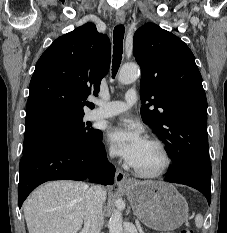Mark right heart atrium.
<instances>
[{"label": "right heart atrium", "mask_w": 227, "mask_h": 233, "mask_svg": "<svg viewBox=\"0 0 227 233\" xmlns=\"http://www.w3.org/2000/svg\"><path fill=\"white\" fill-rule=\"evenodd\" d=\"M107 157H108V159H111V158L113 157L112 151H109V152L107 153Z\"/></svg>", "instance_id": "obj_1"}]
</instances>
